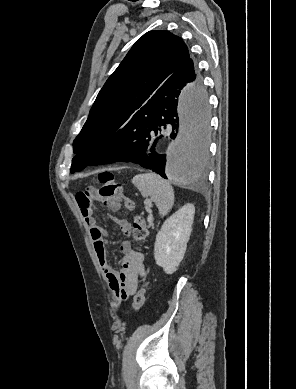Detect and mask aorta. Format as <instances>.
I'll list each match as a JSON object with an SVG mask.
<instances>
[{
	"instance_id": "obj_1",
	"label": "aorta",
	"mask_w": 296,
	"mask_h": 389,
	"mask_svg": "<svg viewBox=\"0 0 296 389\" xmlns=\"http://www.w3.org/2000/svg\"><path fill=\"white\" fill-rule=\"evenodd\" d=\"M178 92L179 130L166 165L167 176L180 183H191L210 162L209 92L203 81H184Z\"/></svg>"
}]
</instances>
